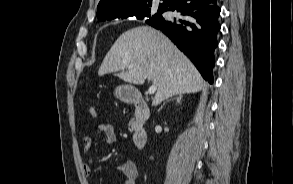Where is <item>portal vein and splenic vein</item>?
I'll return each instance as SVG.
<instances>
[{
	"label": "portal vein and splenic vein",
	"mask_w": 293,
	"mask_h": 184,
	"mask_svg": "<svg viewBox=\"0 0 293 184\" xmlns=\"http://www.w3.org/2000/svg\"><path fill=\"white\" fill-rule=\"evenodd\" d=\"M156 90H157L156 85H151V86L148 88V93H149V95L154 94V93L156 92Z\"/></svg>",
	"instance_id": "18ae733b"
}]
</instances>
